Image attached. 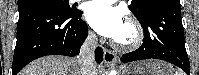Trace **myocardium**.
<instances>
[{"instance_id":"1","label":"myocardium","mask_w":199,"mask_h":75,"mask_svg":"<svg viewBox=\"0 0 199 75\" xmlns=\"http://www.w3.org/2000/svg\"><path fill=\"white\" fill-rule=\"evenodd\" d=\"M127 27L131 31L130 39L126 41L117 40L115 45L118 49L130 51L138 48L143 41V32L136 20L130 19L127 22Z\"/></svg>"}]
</instances>
